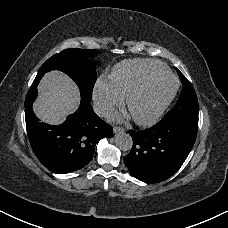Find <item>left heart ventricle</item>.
Here are the masks:
<instances>
[{"instance_id": "obj_1", "label": "left heart ventricle", "mask_w": 228, "mask_h": 228, "mask_svg": "<svg viewBox=\"0 0 228 228\" xmlns=\"http://www.w3.org/2000/svg\"><path fill=\"white\" fill-rule=\"evenodd\" d=\"M155 83L153 89H147L131 105V112L140 119H148L166 99L174 87V81Z\"/></svg>"}]
</instances>
